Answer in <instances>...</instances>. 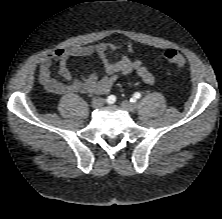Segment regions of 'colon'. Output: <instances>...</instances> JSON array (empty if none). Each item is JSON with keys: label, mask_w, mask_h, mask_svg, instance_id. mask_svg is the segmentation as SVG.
<instances>
[{"label": "colon", "mask_w": 222, "mask_h": 219, "mask_svg": "<svg viewBox=\"0 0 222 219\" xmlns=\"http://www.w3.org/2000/svg\"><path fill=\"white\" fill-rule=\"evenodd\" d=\"M164 59L179 68H184L186 66L185 57L177 50L171 49L164 53Z\"/></svg>", "instance_id": "1"}]
</instances>
